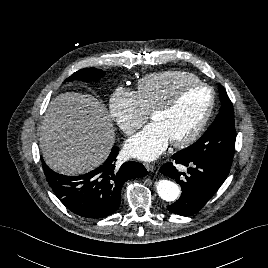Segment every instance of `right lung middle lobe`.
Returning <instances> with one entry per match:
<instances>
[{"instance_id": "right-lung-middle-lobe-1", "label": "right lung middle lobe", "mask_w": 268, "mask_h": 268, "mask_svg": "<svg viewBox=\"0 0 268 268\" xmlns=\"http://www.w3.org/2000/svg\"><path fill=\"white\" fill-rule=\"evenodd\" d=\"M105 75V72L101 69H95V68H84L81 69L74 74H72L68 79H66L67 82L72 80H82V81H91V80H98V78Z\"/></svg>"}]
</instances>
